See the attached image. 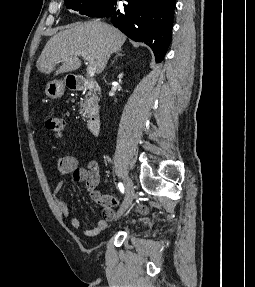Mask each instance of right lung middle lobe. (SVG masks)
<instances>
[{"label":"right lung middle lobe","mask_w":255,"mask_h":287,"mask_svg":"<svg viewBox=\"0 0 255 287\" xmlns=\"http://www.w3.org/2000/svg\"><path fill=\"white\" fill-rule=\"evenodd\" d=\"M67 8L89 17L109 15L117 5V0H65Z\"/></svg>","instance_id":"obj_1"}]
</instances>
